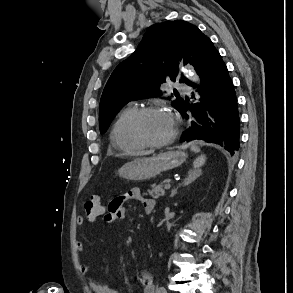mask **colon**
Instances as JSON below:
<instances>
[{"mask_svg": "<svg viewBox=\"0 0 293 293\" xmlns=\"http://www.w3.org/2000/svg\"><path fill=\"white\" fill-rule=\"evenodd\" d=\"M104 210L105 205L99 195L91 196L84 204L85 216L89 220H96Z\"/></svg>", "mask_w": 293, "mask_h": 293, "instance_id": "obj_1", "label": "colon"}]
</instances>
